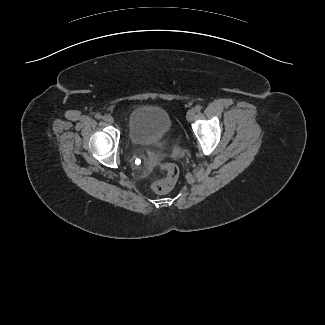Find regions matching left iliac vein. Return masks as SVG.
Listing matches in <instances>:
<instances>
[{
    "label": "left iliac vein",
    "instance_id": "4c4485c4",
    "mask_svg": "<svg viewBox=\"0 0 325 325\" xmlns=\"http://www.w3.org/2000/svg\"><path fill=\"white\" fill-rule=\"evenodd\" d=\"M195 114H196V111L194 109H190L188 112H187V120L189 122L193 121L194 118H195Z\"/></svg>",
    "mask_w": 325,
    "mask_h": 325
}]
</instances>
